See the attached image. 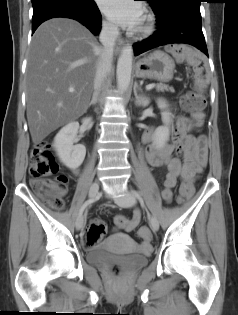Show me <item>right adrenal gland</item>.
Instances as JSON below:
<instances>
[{"label":"right adrenal gland","instance_id":"obj_1","mask_svg":"<svg viewBox=\"0 0 238 315\" xmlns=\"http://www.w3.org/2000/svg\"><path fill=\"white\" fill-rule=\"evenodd\" d=\"M97 103V96L90 102L89 106L95 105Z\"/></svg>","mask_w":238,"mask_h":315}]
</instances>
